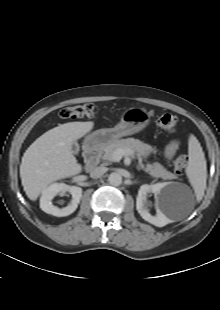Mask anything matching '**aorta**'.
<instances>
[{
	"mask_svg": "<svg viewBox=\"0 0 220 310\" xmlns=\"http://www.w3.org/2000/svg\"><path fill=\"white\" fill-rule=\"evenodd\" d=\"M108 181L113 186H119L122 183V176L116 172H113L109 175Z\"/></svg>",
	"mask_w": 220,
	"mask_h": 310,
	"instance_id": "aorta-1",
	"label": "aorta"
}]
</instances>
